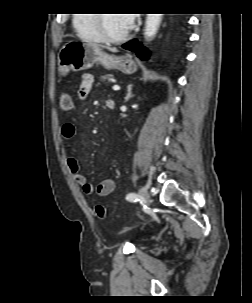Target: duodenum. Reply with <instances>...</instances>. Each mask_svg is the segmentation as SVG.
Listing matches in <instances>:
<instances>
[{
	"instance_id": "410a0bca",
	"label": "duodenum",
	"mask_w": 252,
	"mask_h": 303,
	"mask_svg": "<svg viewBox=\"0 0 252 303\" xmlns=\"http://www.w3.org/2000/svg\"><path fill=\"white\" fill-rule=\"evenodd\" d=\"M106 105H107V107H108L109 109H113L114 106H115V104H114L113 101H108Z\"/></svg>"
}]
</instances>
